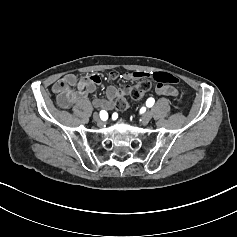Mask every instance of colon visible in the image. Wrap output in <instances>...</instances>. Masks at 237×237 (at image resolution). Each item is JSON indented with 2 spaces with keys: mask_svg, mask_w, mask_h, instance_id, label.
Here are the masks:
<instances>
[{
  "mask_svg": "<svg viewBox=\"0 0 237 237\" xmlns=\"http://www.w3.org/2000/svg\"><path fill=\"white\" fill-rule=\"evenodd\" d=\"M150 76V75H149ZM151 77L161 84H177L179 82L178 78L170 73L166 72H154ZM152 87V83L148 78L142 79L135 85L131 86L127 95L134 100L142 98ZM129 107V100L126 96L120 97L116 103L115 108L118 111H124Z\"/></svg>",
  "mask_w": 237,
  "mask_h": 237,
  "instance_id": "5ec220e1",
  "label": "colon"
}]
</instances>
